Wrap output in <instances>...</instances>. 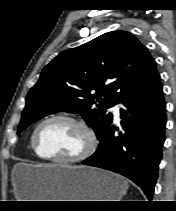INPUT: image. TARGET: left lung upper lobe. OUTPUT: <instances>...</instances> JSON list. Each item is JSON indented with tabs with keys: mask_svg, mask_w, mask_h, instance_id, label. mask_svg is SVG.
<instances>
[{
	"mask_svg": "<svg viewBox=\"0 0 176 211\" xmlns=\"http://www.w3.org/2000/svg\"><path fill=\"white\" fill-rule=\"evenodd\" d=\"M159 76L156 62L135 36L105 33L61 52L44 67L28 92L17 133L47 115L71 112L81 114L100 140L112 121L107 109Z\"/></svg>",
	"mask_w": 176,
	"mask_h": 211,
	"instance_id": "1",
	"label": "left lung upper lobe"
}]
</instances>
